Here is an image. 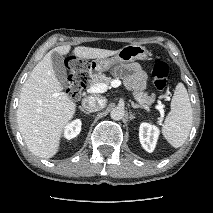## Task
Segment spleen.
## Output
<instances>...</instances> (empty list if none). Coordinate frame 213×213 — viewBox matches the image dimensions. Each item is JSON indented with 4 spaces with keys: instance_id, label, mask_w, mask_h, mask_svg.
Masks as SVG:
<instances>
[{
    "instance_id": "3e777b00",
    "label": "spleen",
    "mask_w": 213,
    "mask_h": 213,
    "mask_svg": "<svg viewBox=\"0 0 213 213\" xmlns=\"http://www.w3.org/2000/svg\"><path fill=\"white\" fill-rule=\"evenodd\" d=\"M193 121L189 95L183 83H178L171 101L162 133L165 139L175 148L181 147L189 136Z\"/></svg>"
}]
</instances>
